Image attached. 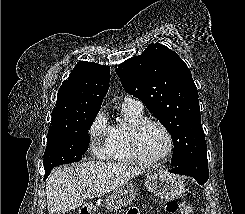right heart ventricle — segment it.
Listing matches in <instances>:
<instances>
[{
    "label": "right heart ventricle",
    "instance_id": "1",
    "mask_svg": "<svg viewBox=\"0 0 245 214\" xmlns=\"http://www.w3.org/2000/svg\"><path fill=\"white\" fill-rule=\"evenodd\" d=\"M122 113L126 118V122L111 126L108 158L120 162H135L136 159L129 149L127 134L132 124L144 119L143 109H139L131 103L123 102Z\"/></svg>",
    "mask_w": 245,
    "mask_h": 214
}]
</instances>
